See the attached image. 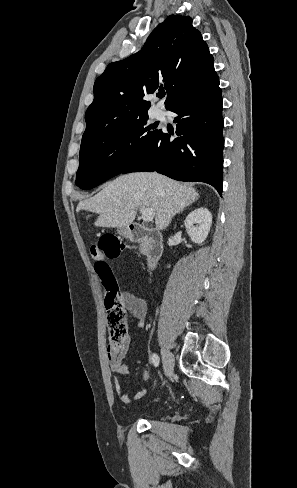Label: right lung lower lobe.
<instances>
[{"mask_svg": "<svg viewBox=\"0 0 297 488\" xmlns=\"http://www.w3.org/2000/svg\"><path fill=\"white\" fill-rule=\"evenodd\" d=\"M169 110L177 114L173 118L176 131L160 130L122 173L156 171L179 181L208 183L222 195L224 139L218 76L185 95Z\"/></svg>", "mask_w": 297, "mask_h": 488, "instance_id": "obj_1", "label": "right lung lower lobe"}]
</instances>
